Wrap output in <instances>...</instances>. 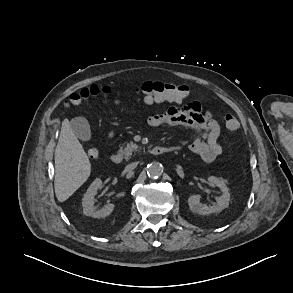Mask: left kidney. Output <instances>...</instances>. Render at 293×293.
<instances>
[{
    "label": "left kidney",
    "instance_id": "5707ae66",
    "mask_svg": "<svg viewBox=\"0 0 293 293\" xmlns=\"http://www.w3.org/2000/svg\"><path fill=\"white\" fill-rule=\"evenodd\" d=\"M208 183L210 185H216L222 195L216 197V202L213 205H206L200 202L199 195H192L188 198V205L192 212L201 215H209L211 213L221 212L223 209L227 208L230 201L229 189L226 186L225 180L222 178H217L215 176H210L208 178Z\"/></svg>",
    "mask_w": 293,
    "mask_h": 293
}]
</instances>
